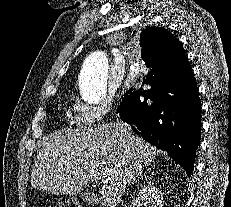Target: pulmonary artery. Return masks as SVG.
I'll list each match as a JSON object with an SVG mask.
<instances>
[{
  "mask_svg": "<svg viewBox=\"0 0 231 207\" xmlns=\"http://www.w3.org/2000/svg\"><path fill=\"white\" fill-rule=\"evenodd\" d=\"M137 75H138L137 72H134L132 76H137Z\"/></svg>",
  "mask_w": 231,
  "mask_h": 207,
  "instance_id": "e3ab8cb5",
  "label": "pulmonary artery"
}]
</instances>
